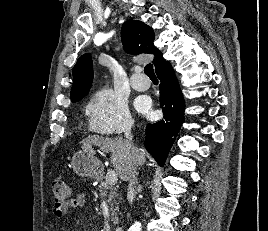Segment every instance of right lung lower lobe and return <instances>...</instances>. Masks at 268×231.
<instances>
[{
    "mask_svg": "<svg viewBox=\"0 0 268 231\" xmlns=\"http://www.w3.org/2000/svg\"><path fill=\"white\" fill-rule=\"evenodd\" d=\"M156 74L161 81L160 105L164 119L147 125L145 147L158 164L163 166L184 121L185 104L171 65H164Z\"/></svg>",
    "mask_w": 268,
    "mask_h": 231,
    "instance_id": "obj_1",
    "label": "right lung lower lobe"
}]
</instances>
